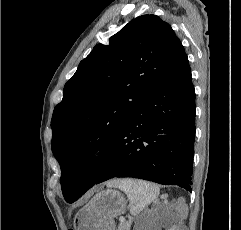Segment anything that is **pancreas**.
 <instances>
[{"label": "pancreas", "instance_id": "1", "mask_svg": "<svg viewBox=\"0 0 241 230\" xmlns=\"http://www.w3.org/2000/svg\"><path fill=\"white\" fill-rule=\"evenodd\" d=\"M131 223L130 222H124L120 223L117 230H129Z\"/></svg>", "mask_w": 241, "mask_h": 230}]
</instances>
